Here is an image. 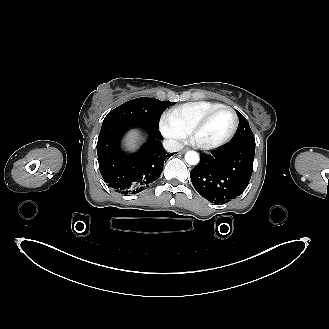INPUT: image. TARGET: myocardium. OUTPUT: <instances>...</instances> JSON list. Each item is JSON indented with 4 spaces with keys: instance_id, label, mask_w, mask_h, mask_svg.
Masks as SVG:
<instances>
[{
    "instance_id": "myocardium-1",
    "label": "myocardium",
    "mask_w": 329,
    "mask_h": 329,
    "mask_svg": "<svg viewBox=\"0 0 329 329\" xmlns=\"http://www.w3.org/2000/svg\"><path fill=\"white\" fill-rule=\"evenodd\" d=\"M223 110L230 111L232 113L233 119H234L233 127H232L230 133L228 134V136L221 141L213 142V143H204V142L198 141L196 139V135L199 132V130L202 129L210 121V119L213 116H215L217 113H219ZM238 126H239V118H238L236 111L228 105H223V106H220V107L210 111L203 118H201L198 122H196L191 127V129L189 131V136L195 146H197L198 148L203 149V150H210V149L221 147V146L227 144L229 141H231L237 132Z\"/></svg>"
}]
</instances>
